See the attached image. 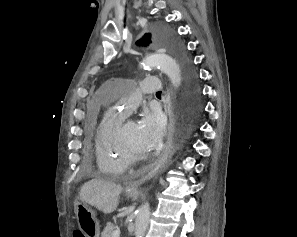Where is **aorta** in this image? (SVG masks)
I'll use <instances>...</instances> for the list:
<instances>
[{
	"label": "aorta",
	"instance_id": "1",
	"mask_svg": "<svg viewBox=\"0 0 297 237\" xmlns=\"http://www.w3.org/2000/svg\"><path fill=\"white\" fill-rule=\"evenodd\" d=\"M159 45H168L175 51L176 40H158ZM143 67L159 68L171 80L175 88H178L182 83L181 68L178 62L165 53H157L147 56L143 63ZM150 220V205L149 203L142 204L138 210L135 219V237H144Z\"/></svg>",
	"mask_w": 297,
	"mask_h": 237
}]
</instances>
